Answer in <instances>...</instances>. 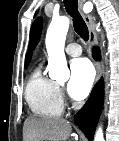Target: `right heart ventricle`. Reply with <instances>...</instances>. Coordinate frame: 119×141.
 Here are the masks:
<instances>
[{
  "mask_svg": "<svg viewBox=\"0 0 119 141\" xmlns=\"http://www.w3.org/2000/svg\"><path fill=\"white\" fill-rule=\"evenodd\" d=\"M25 98L31 111L39 117L58 118L62 115L63 105L57 83L46 77L39 67L30 76Z\"/></svg>",
  "mask_w": 119,
  "mask_h": 141,
  "instance_id": "1",
  "label": "right heart ventricle"
}]
</instances>
